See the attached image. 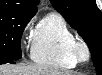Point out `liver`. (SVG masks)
Here are the masks:
<instances>
[{
    "mask_svg": "<svg viewBox=\"0 0 102 75\" xmlns=\"http://www.w3.org/2000/svg\"><path fill=\"white\" fill-rule=\"evenodd\" d=\"M0 75H76L73 72L63 71L46 65H1Z\"/></svg>",
    "mask_w": 102,
    "mask_h": 75,
    "instance_id": "6515ba94",
    "label": "liver"
}]
</instances>
